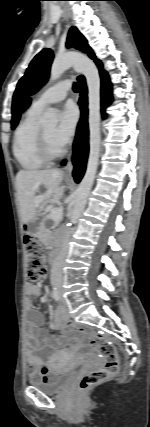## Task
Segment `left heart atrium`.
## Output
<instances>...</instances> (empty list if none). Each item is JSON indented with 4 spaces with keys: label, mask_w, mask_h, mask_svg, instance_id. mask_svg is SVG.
Segmentation results:
<instances>
[{
    "label": "left heart atrium",
    "mask_w": 150,
    "mask_h": 427,
    "mask_svg": "<svg viewBox=\"0 0 150 427\" xmlns=\"http://www.w3.org/2000/svg\"><path fill=\"white\" fill-rule=\"evenodd\" d=\"M77 113L72 106H66L60 115V121L55 131V141L63 148L73 138L77 127Z\"/></svg>",
    "instance_id": "left-heart-atrium-1"
}]
</instances>
